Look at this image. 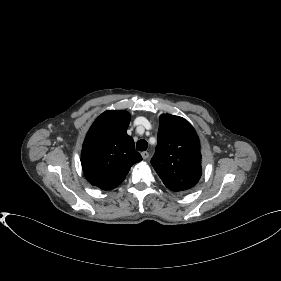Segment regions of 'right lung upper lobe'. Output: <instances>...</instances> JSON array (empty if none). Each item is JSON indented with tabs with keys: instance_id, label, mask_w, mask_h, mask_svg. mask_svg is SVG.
<instances>
[{
	"instance_id": "1",
	"label": "right lung upper lobe",
	"mask_w": 281,
	"mask_h": 281,
	"mask_svg": "<svg viewBox=\"0 0 281 281\" xmlns=\"http://www.w3.org/2000/svg\"><path fill=\"white\" fill-rule=\"evenodd\" d=\"M130 114L123 110L102 113L83 143L81 164L86 179L103 190L117 187L131 166L142 160L126 132Z\"/></svg>"
}]
</instances>
